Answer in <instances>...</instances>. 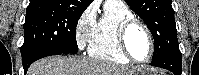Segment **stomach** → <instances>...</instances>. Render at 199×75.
Wrapping results in <instances>:
<instances>
[{"label": "stomach", "instance_id": "obj_1", "mask_svg": "<svg viewBox=\"0 0 199 75\" xmlns=\"http://www.w3.org/2000/svg\"><path fill=\"white\" fill-rule=\"evenodd\" d=\"M133 75H156V74L152 69L148 67H144V68H140Z\"/></svg>", "mask_w": 199, "mask_h": 75}]
</instances>
